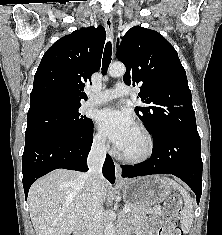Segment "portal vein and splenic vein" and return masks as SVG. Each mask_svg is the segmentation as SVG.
Wrapping results in <instances>:
<instances>
[{
    "mask_svg": "<svg viewBox=\"0 0 222 235\" xmlns=\"http://www.w3.org/2000/svg\"><path fill=\"white\" fill-rule=\"evenodd\" d=\"M123 211L129 212V211H130V208H128L127 206H124Z\"/></svg>",
    "mask_w": 222,
    "mask_h": 235,
    "instance_id": "1",
    "label": "portal vein and splenic vein"
}]
</instances>
